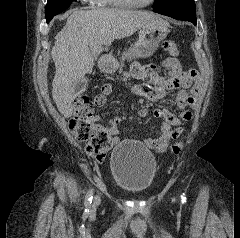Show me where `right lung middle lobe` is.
I'll return each instance as SVG.
<instances>
[{
    "instance_id": "1",
    "label": "right lung middle lobe",
    "mask_w": 240,
    "mask_h": 238,
    "mask_svg": "<svg viewBox=\"0 0 240 238\" xmlns=\"http://www.w3.org/2000/svg\"><path fill=\"white\" fill-rule=\"evenodd\" d=\"M75 0H48L46 4V21L49 23L51 19L66 10Z\"/></svg>"
}]
</instances>
